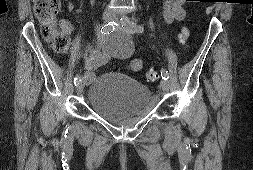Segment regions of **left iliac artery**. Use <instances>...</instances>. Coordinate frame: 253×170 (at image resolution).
<instances>
[{
    "instance_id": "44dca946",
    "label": "left iliac artery",
    "mask_w": 253,
    "mask_h": 170,
    "mask_svg": "<svg viewBox=\"0 0 253 170\" xmlns=\"http://www.w3.org/2000/svg\"><path fill=\"white\" fill-rule=\"evenodd\" d=\"M121 20L123 21V18H121ZM132 33H135V32H141V30H143L140 26H138L136 23L132 22ZM125 24L122 23V27H124ZM161 76L163 79L165 80H168L169 78V73L168 71H166L165 69H162L161 70Z\"/></svg>"
}]
</instances>
